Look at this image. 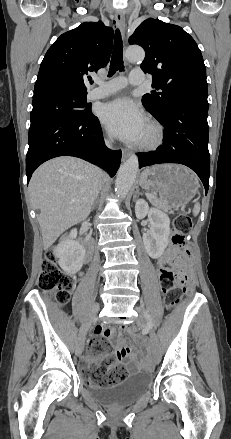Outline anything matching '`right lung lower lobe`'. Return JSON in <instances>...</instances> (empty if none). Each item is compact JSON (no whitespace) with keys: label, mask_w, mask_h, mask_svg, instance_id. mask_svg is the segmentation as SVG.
<instances>
[{"label":"right lung lower lobe","mask_w":231,"mask_h":439,"mask_svg":"<svg viewBox=\"0 0 231 439\" xmlns=\"http://www.w3.org/2000/svg\"><path fill=\"white\" fill-rule=\"evenodd\" d=\"M26 175L43 162L58 156H74L100 166L113 177L121 161V150L106 148L100 122L95 115L57 117L29 129Z\"/></svg>","instance_id":"right-lung-lower-lobe-1"}]
</instances>
